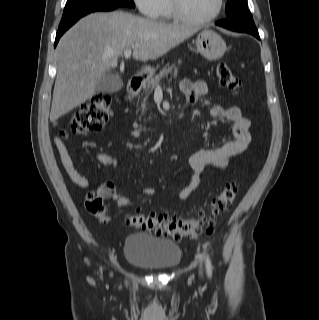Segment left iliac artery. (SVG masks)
<instances>
[{"instance_id": "obj_1", "label": "left iliac artery", "mask_w": 319, "mask_h": 320, "mask_svg": "<svg viewBox=\"0 0 319 320\" xmlns=\"http://www.w3.org/2000/svg\"><path fill=\"white\" fill-rule=\"evenodd\" d=\"M206 268H207V274L209 277L212 275V265L211 261L208 255H206Z\"/></svg>"}]
</instances>
